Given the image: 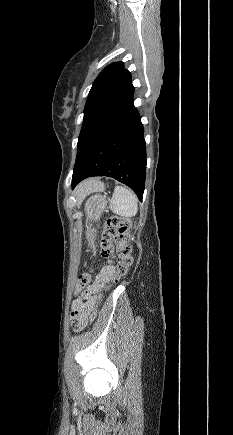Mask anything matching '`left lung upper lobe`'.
Here are the masks:
<instances>
[{"label": "left lung upper lobe", "mask_w": 233, "mask_h": 435, "mask_svg": "<svg viewBox=\"0 0 233 435\" xmlns=\"http://www.w3.org/2000/svg\"><path fill=\"white\" fill-rule=\"evenodd\" d=\"M134 87L123 62L108 65L96 78L89 92L76 160L100 132L133 106Z\"/></svg>", "instance_id": "5c2ea615"}]
</instances>
